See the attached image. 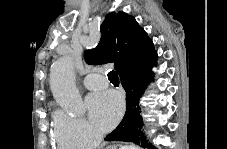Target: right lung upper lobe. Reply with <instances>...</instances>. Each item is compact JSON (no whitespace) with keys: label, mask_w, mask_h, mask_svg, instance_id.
I'll use <instances>...</instances> for the list:
<instances>
[{"label":"right lung upper lobe","mask_w":227,"mask_h":149,"mask_svg":"<svg viewBox=\"0 0 227 149\" xmlns=\"http://www.w3.org/2000/svg\"><path fill=\"white\" fill-rule=\"evenodd\" d=\"M100 29L102 35L98 46L85 52L89 64L114 62V68L121 75L124 71L157 57L147 33L134 17L124 12L107 14Z\"/></svg>","instance_id":"1"}]
</instances>
